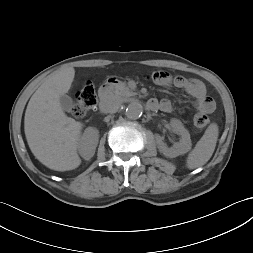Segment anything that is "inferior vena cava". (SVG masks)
<instances>
[{
  "label": "inferior vena cava",
  "mask_w": 253,
  "mask_h": 253,
  "mask_svg": "<svg viewBox=\"0 0 253 253\" xmlns=\"http://www.w3.org/2000/svg\"><path fill=\"white\" fill-rule=\"evenodd\" d=\"M121 100L111 96L101 100L99 103L100 111L103 113H116L120 108Z\"/></svg>",
  "instance_id": "1"
}]
</instances>
